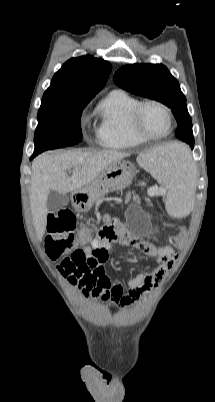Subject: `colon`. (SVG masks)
<instances>
[{"label": "colon", "mask_w": 215, "mask_h": 402, "mask_svg": "<svg viewBox=\"0 0 215 402\" xmlns=\"http://www.w3.org/2000/svg\"><path fill=\"white\" fill-rule=\"evenodd\" d=\"M75 225V215L70 210L52 212L48 215V235L45 240L46 252L52 259H57L63 254H66L68 257L62 261L65 267L70 266L73 262L81 263L83 254L80 250L84 249L85 244H91L92 242L90 231L87 229L81 231L80 234L75 237L73 233ZM179 228L185 230L187 225L182 223L179 225ZM187 236L188 233L186 231L179 232L173 244L180 246L187 241Z\"/></svg>", "instance_id": "colon-1"}]
</instances>
